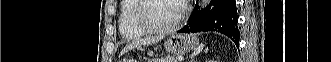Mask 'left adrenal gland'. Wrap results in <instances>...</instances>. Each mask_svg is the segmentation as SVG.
Instances as JSON below:
<instances>
[{
	"label": "left adrenal gland",
	"mask_w": 331,
	"mask_h": 62,
	"mask_svg": "<svg viewBox=\"0 0 331 62\" xmlns=\"http://www.w3.org/2000/svg\"><path fill=\"white\" fill-rule=\"evenodd\" d=\"M196 53H194L193 55H192V57H191V61L190 62H193V56L195 55Z\"/></svg>",
	"instance_id": "left-adrenal-gland-1"
}]
</instances>
